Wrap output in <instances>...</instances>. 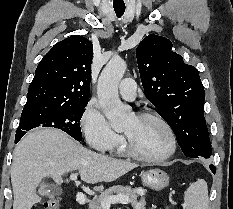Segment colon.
Listing matches in <instances>:
<instances>
[{"label":"colon","mask_w":233,"mask_h":209,"mask_svg":"<svg viewBox=\"0 0 233 209\" xmlns=\"http://www.w3.org/2000/svg\"><path fill=\"white\" fill-rule=\"evenodd\" d=\"M44 209H60V200L58 198H53L47 200L43 204Z\"/></svg>","instance_id":"1"}]
</instances>
